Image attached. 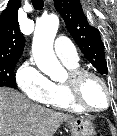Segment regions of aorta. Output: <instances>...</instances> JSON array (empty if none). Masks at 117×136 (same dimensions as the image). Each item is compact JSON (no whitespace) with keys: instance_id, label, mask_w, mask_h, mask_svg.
<instances>
[{"instance_id":"obj_1","label":"aorta","mask_w":117,"mask_h":136,"mask_svg":"<svg viewBox=\"0 0 117 136\" xmlns=\"http://www.w3.org/2000/svg\"><path fill=\"white\" fill-rule=\"evenodd\" d=\"M59 27V18L55 14L42 16L36 23L32 51L39 69L52 79L60 78L65 69L58 61L53 43Z\"/></svg>"}]
</instances>
